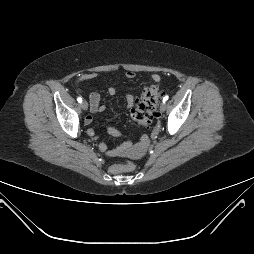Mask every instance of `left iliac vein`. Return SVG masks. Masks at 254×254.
I'll return each instance as SVG.
<instances>
[{
  "label": "left iliac vein",
  "instance_id": "obj_1",
  "mask_svg": "<svg viewBox=\"0 0 254 254\" xmlns=\"http://www.w3.org/2000/svg\"><path fill=\"white\" fill-rule=\"evenodd\" d=\"M165 110H166V104L162 102V103L160 104V111H161V112H164Z\"/></svg>",
  "mask_w": 254,
  "mask_h": 254
}]
</instances>
